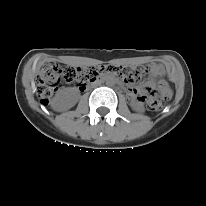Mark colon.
Here are the masks:
<instances>
[{
  "label": "colon",
  "mask_w": 206,
  "mask_h": 206,
  "mask_svg": "<svg viewBox=\"0 0 206 206\" xmlns=\"http://www.w3.org/2000/svg\"><path fill=\"white\" fill-rule=\"evenodd\" d=\"M102 72H108L123 77L128 82L141 79L147 72L144 67L127 68L122 66H109L107 68L74 67L61 68L55 63H46L37 75V94L42 104L47 105L52 95L57 91L61 80L67 83H75L80 89L97 80ZM147 95L141 99L146 101L151 111H159L162 108V99L170 97V91L165 83L158 88L148 86Z\"/></svg>",
  "instance_id": "obj_1"
}]
</instances>
